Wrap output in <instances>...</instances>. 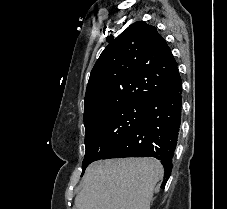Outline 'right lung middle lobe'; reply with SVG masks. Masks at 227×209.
Segmentation results:
<instances>
[{
    "label": "right lung middle lobe",
    "mask_w": 227,
    "mask_h": 209,
    "mask_svg": "<svg viewBox=\"0 0 227 209\" xmlns=\"http://www.w3.org/2000/svg\"><path fill=\"white\" fill-rule=\"evenodd\" d=\"M102 112L84 120L85 158L82 174L86 167L102 159L142 119L145 103L139 101L107 98L101 102Z\"/></svg>",
    "instance_id": "1"
}]
</instances>
